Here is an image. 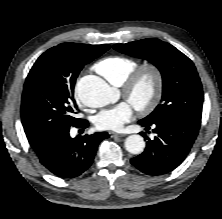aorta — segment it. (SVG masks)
I'll return each mask as SVG.
<instances>
[{
    "label": "aorta",
    "mask_w": 222,
    "mask_h": 219,
    "mask_svg": "<svg viewBox=\"0 0 222 219\" xmlns=\"http://www.w3.org/2000/svg\"><path fill=\"white\" fill-rule=\"evenodd\" d=\"M76 94L80 101L92 108H99L113 100L111 87L100 77L88 75L82 77L76 85ZM125 148L131 154H140L145 148V142L140 135H130L125 140Z\"/></svg>",
    "instance_id": "aorta-1"
}]
</instances>
